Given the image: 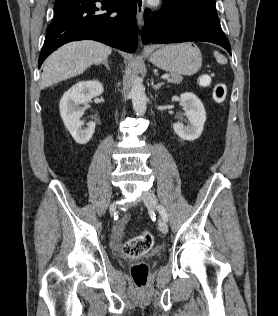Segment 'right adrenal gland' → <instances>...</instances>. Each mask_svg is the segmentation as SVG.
Returning <instances> with one entry per match:
<instances>
[{"mask_svg": "<svg viewBox=\"0 0 278 316\" xmlns=\"http://www.w3.org/2000/svg\"><path fill=\"white\" fill-rule=\"evenodd\" d=\"M104 65V66H106V68L108 69V70H110V66H109V63H108V60L107 59H105L103 62H101V63H99V65Z\"/></svg>", "mask_w": 278, "mask_h": 316, "instance_id": "right-adrenal-gland-1", "label": "right adrenal gland"}]
</instances>
